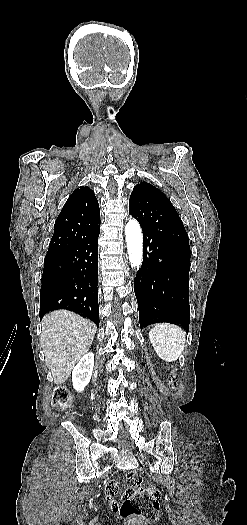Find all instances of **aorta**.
<instances>
[{"instance_id": "aorta-1", "label": "aorta", "mask_w": 247, "mask_h": 525, "mask_svg": "<svg viewBox=\"0 0 247 525\" xmlns=\"http://www.w3.org/2000/svg\"><path fill=\"white\" fill-rule=\"evenodd\" d=\"M125 237L130 265L134 269H139L143 260V240L141 227L136 220L130 219L126 224Z\"/></svg>"}]
</instances>
